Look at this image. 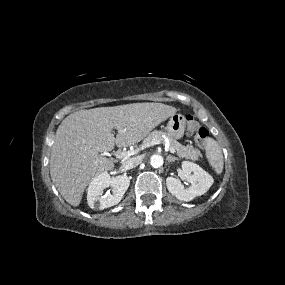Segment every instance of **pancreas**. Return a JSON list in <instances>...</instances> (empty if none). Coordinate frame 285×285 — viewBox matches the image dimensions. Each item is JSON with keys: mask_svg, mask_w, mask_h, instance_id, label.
<instances>
[{"mask_svg": "<svg viewBox=\"0 0 285 285\" xmlns=\"http://www.w3.org/2000/svg\"><path fill=\"white\" fill-rule=\"evenodd\" d=\"M162 131L154 130L151 132L148 137L144 140V143H150L154 140H161L164 141V138L162 137ZM169 140V146L177 152V155L181 158L191 159L192 161L199 160L200 157H202V154L199 149L194 148L192 145L184 146L180 144L175 139H172L171 137L167 136Z\"/></svg>", "mask_w": 285, "mask_h": 285, "instance_id": "obj_1", "label": "pancreas"}]
</instances>
